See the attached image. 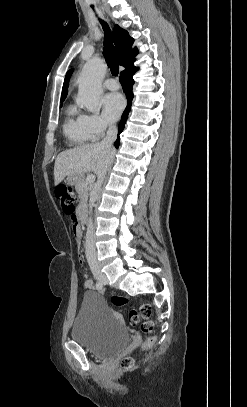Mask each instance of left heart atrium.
I'll use <instances>...</instances> for the list:
<instances>
[{"mask_svg": "<svg viewBox=\"0 0 247 407\" xmlns=\"http://www.w3.org/2000/svg\"><path fill=\"white\" fill-rule=\"evenodd\" d=\"M101 105L105 117L109 121H116L124 108L125 101L121 94L109 93L102 98Z\"/></svg>", "mask_w": 247, "mask_h": 407, "instance_id": "obj_1", "label": "left heart atrium"}]
</instances>
